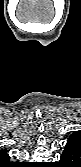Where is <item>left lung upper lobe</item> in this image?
Returning <instances> with one entry per match:
<instances>
[{
	"mask_svg": "<svg viewBox=\"0 0 81 167\" xmlns=\"http://www.w3.org/2000/svg\"><path fill=\"white\" fill-rule=\"evenodd\" d=\"M71 140L78 141L81 143V132L80 131L73 132L68 138V141H71Z\"/></svg>",
	"mask_w": 81,
	"mask_h": 167,
	"instance_id": "1",
	"label": "left lung upper lobe"
}]
</instances>
